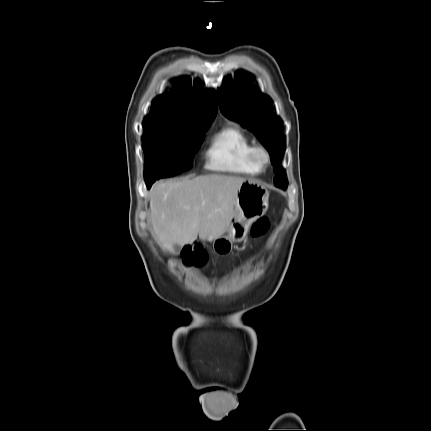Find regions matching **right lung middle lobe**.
I'll return each instance as SVG.
<instances>
[{"instance_id": "dd1d6c3e", "label": "right lung middle lobe", "mask_w": 431, "mask_h": 431, "mask_svg": "<svg viewBox=\"0 0 431 431\" xmlns=\"http://www.w3.org/2000/svg\"><path fill=\"white\" fill-rule=\"evenodd\" d=\"M209 127L143 122L145 180L170 177L190 169Z\"/></svg>"}]
</instances>
